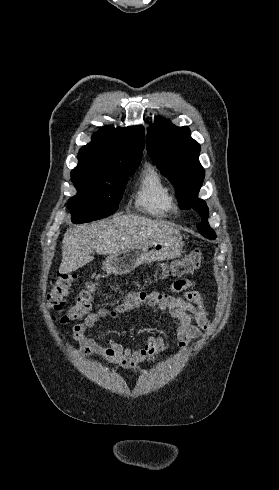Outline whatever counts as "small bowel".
<instances>
[{
  "label": "small bowel",
  "instance_id": "small-bowel-1",
  "mask_svg": "<svg viewBox=\"0 0 279 490\" xmlns=\"http://www.w3.org/2000/svg\"><path fill=\"white\" fill-rule=\"evenodd\" d=\"M194 285V281L190 279L176 280L171 290L177 295L157 291H132L116 306L100 308L89 313L71 331L72 338L78 343V352L113 362L133 372H137L143 363L157 360L165 345V335L162 333L150 336L143 348L137 351L130 350L115 338L109 340L108 347H103L88 333L100 320L116 319L119 315L136 310L142 305L169 311L178 320L177 343L180 348H184L200 338L203 331L209 328L204 297L200 292L193 290Z\"/></svg>",
  "mask_w": 279,
  "mask_h": 490
}]
</instances>
